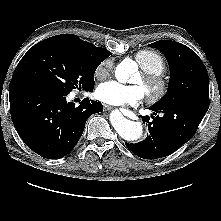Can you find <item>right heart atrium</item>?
Masks as SVG:
<instances>
[{"instance_id":"1","label":"right heart atrium","mask_w":221,"mask_h":221,"mask_svg":"<svg viewBox=\"0 0 221 221\" xmlns=\"http://www.w3.org/2000/svg\"><path fill=\"white\" fill-rule=\"evenodd\" d=\"M112 67L113 62L111 59L102 61L95 70V76L99 79L107 77L111 73Z\"/></svg>"}]
</instances>
